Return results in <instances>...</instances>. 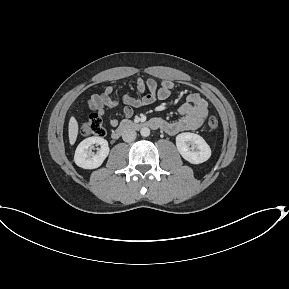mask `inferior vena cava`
Instances as JSON below:
<instances>
[{"label":"inferior vena cava","instance_id":"1","mask_svg":"<svg viewBox=\"0 0 289 289\" xmlns=\"http://www.w3.org/2000/svg\"><path fill=\"white\" fill-rule=\"evenodd\" d=\"M136 138V131L133 130V129H125L123 132H122V139L125 141V142H132L134 141Z\"/></svg>","mask_w":289,"mask_h":289}]
</instances>
